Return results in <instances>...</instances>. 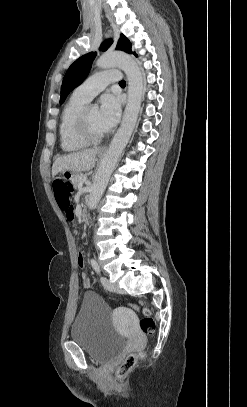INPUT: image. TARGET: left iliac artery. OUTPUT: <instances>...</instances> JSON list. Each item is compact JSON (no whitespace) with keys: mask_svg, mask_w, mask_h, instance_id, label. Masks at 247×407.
Listing matches in <instances>:
<instances>
[{"mask_svg":"<svg viewBox=\"0 0 247 407\" xmlns=\"http://www.w3.org/2000/svg\"><path fill=\"white\" fill-rule=\"evenodd\" d=\"M90 262H91V265H92L93 269L96 271V273L99 274L100 273V268H99V265H98L97 261L95 259H91Z\"/></svg>","mask_w":247,"mask_h":407,"instance_id":"left-iliac-artery-1","label":"left iliac artery"}]
</instances>
